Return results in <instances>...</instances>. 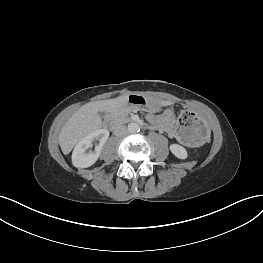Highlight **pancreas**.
Wrapping results in <instances>:
<instances>
[{
	"instance_id": "cf45deb5",
	"label": "pancreas",
	"mask_w": 263,
	"mask_h": 263,
	"mask_svg": "<svg viewBox=\"0 0 263 263\" xmlns=\"http://www.w3.org/2000/svg\"><path fill=\"white\" fill-rule=\"evenodd\" d=\"M112 117L116 124H125L131 120L129 117V111L124 108L116 110Z\"/></svg>"
}]
</instances>
